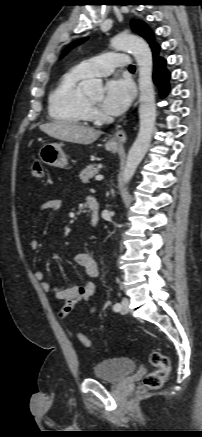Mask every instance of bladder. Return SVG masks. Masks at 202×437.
Wrapping results in <instances>:
<instances>
[{"mask_svg": "<svg viewBox=\"0 0 202 437\" xmlns=\"http://www.w3.org/2000/svg\"><path fill=\"white\" fill-rule=\"evenodd\" d=\"M135 369L136 363L133 359L118 357L98 362L94 365L92 373L96 379L115 383L132 374Z\"/></svg>", "mask_w": 202, "mask_h": 437, "instance_id": "31cf9c89", "label": "bladder"}]
</instances>
